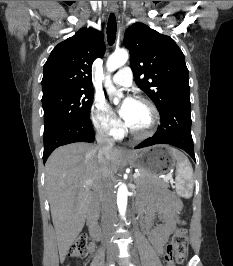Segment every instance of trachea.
<instances>
[{"label": "trachea", "mask_w": 233, "mask_h": 266, "mask_svg": "<svg viewBox=\"0 0 233 266\" xmlns=\"http://www.w3.org/2000/svg\"><path fill=\"white\" fill-rule=\"evenodd\" d=\"M116 18L113 13L110 14L108 24H107V40L109 45H112L116 38Z\"/></svg>", "instance_id": "obj_1"}]
</instances>
